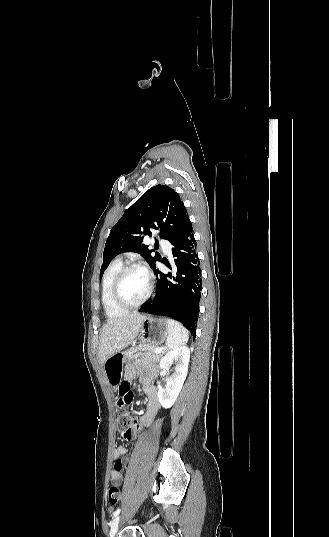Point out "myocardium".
<instances>
[{
	"instance_id": "myocardium-1",
	"label": "myocardium",
	"mask_w": 329,
	"mask_h": 537,
	"mask_svg": "<svg viewBox=\"0 0 329 537\" xmlns=\"http://www.w3.org/2000/svg\"><path fill=\"white\" fill-rule=\"evenodd\" d=\"M133 270H141L146 274L148 278V288L144 296L138 302L130 304V303L125 302L121 296V284L125 275ZM153 285H154L153 278L151 274L142 265L136 264V263L125 265L120 269V271L118 272L115 278L114 285H113V300L118 307L124 310H131V309L138 308L142 304H144L150 297L153 291Z\"/></svg>"
}]
</instances>
